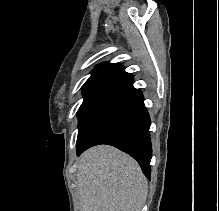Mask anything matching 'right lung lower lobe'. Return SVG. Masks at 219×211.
Segmentation results:
<instances>
[{
  "label": "right lung lower lobe",
  "mask_w": 219,
  "mask_h": 211,
  "mask_svg": "<svg viewBox=\"0 0 219 211\" xmlns=\"http://www.w3.org/2000/svg\"><path fill=\"white\" fill-rule=\"evenodd\" d=\"M132 84L129 76L109 91L77 138V155L95 145H112L137 160L150 179V117L142 92Z\"/></svg>",
  "instance_id": "right-lung-lower-lobe-1"
}]
</instances>
